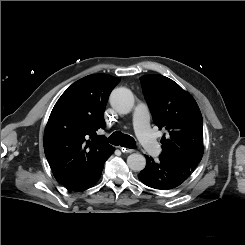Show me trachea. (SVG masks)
Returning <instances> with one entry per match:
<instances>
[{"instance_id":"1","label":"trachea","mask_w":245,"mask_h":245,"mask_svg":"<svg viewBox=\"0 0 245 245\" xmlns=\"http://www.w3.org/2000/svg\"><path fill=\"white\" fill-rule=\"evenodd\" d=\"M107 141L112 145H120L126 148H135V140L131 136L125 135L120 131L112 133Z\"/></svg>"}]
</instances>
